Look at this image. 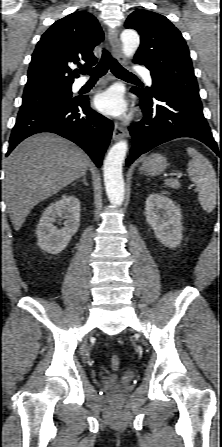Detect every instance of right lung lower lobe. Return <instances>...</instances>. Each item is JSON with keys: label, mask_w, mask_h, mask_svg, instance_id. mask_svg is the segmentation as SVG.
Returning <instances> with one entry per match:
<instances>
[{"label": "right lung lower lobe", "mask_w": 222, "mask_h": 447, "mask_svg": "<svg viewBox=\"0 0 222 447\" xmlns=\"http://www.w3.org/2000/svg\"><path fill=\"white\" fill-rule=\"evenodd\" d=\"M113 123L92 110L87 97L18 116L9 140L10 152L22 140L40 132L56 133L84 149L97 167L110 143Z\"/></svg>", "instance_id": "obj_1"}]
</instances>
